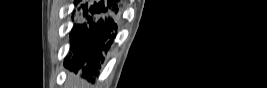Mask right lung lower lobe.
Returning a JSON list of instances; mask_svg holds the SVG:
<instances>
[{
	"instance_id": "1",
	"label": "right lung lower lobe",
	"mask_w": 267,
	"mask_h": 88,
	"mask_svg": "<svg viewBox=\"0 0 267 88\" xmlns=\"http://www.w3.org/2000/svg\"><path fill=\"white\" fill-rule=\"evenodd\" d=\"M87 22L74 27L70 35L73 60L65 66L83 76L97 75L116 36L120 5L118 0L90 2L79 8Z\"/></svg>"
}]
</instances>
